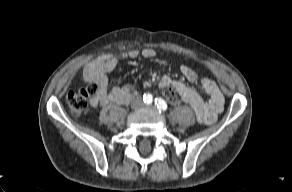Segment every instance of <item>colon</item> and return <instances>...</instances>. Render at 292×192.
Instances as JSON below:
<instances>
[{"instance_id":"colon-1","label":"colon","mask_w":292,"mask_h":192,"mask_svg":"<svg viewBox=\"0 0 292 192\" xmlns=\"http://www.w3.org/2000/svg\"><path fill=\"white\" fill-rule=\"evenodd\" d=\"M97 93L98 85L94 82H90L84 88L69 91L66 97L69 111L73 115L82 114L88 107L89 98L96 96ZM163 93L171 103L178 104L180 102V97L173 90L163 89Z\"/></svg>"}]
</instances>
